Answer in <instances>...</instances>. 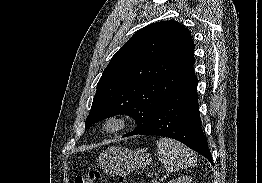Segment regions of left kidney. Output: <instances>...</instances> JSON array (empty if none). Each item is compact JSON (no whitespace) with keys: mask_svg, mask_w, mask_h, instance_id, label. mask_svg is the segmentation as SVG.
I'll use <instances>...</instances> for the list:
<instances>
[{"mask_svg":"<svg viewBox=\"0 0 262 183\" xmlns=\"http://www.w3.org/2000/svg\"><path fill=\"white\" fill-rule=\"evenodd\" d=\"M192 178L190 176H180L167 183H191Z\"/></svg>","mask_w":262,"mask_h":183,"instance_id":"left-kidney-1","label":"left kidney"}]
</instances>
